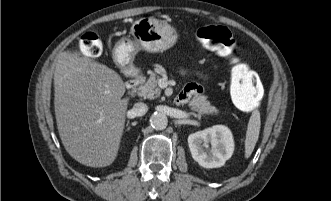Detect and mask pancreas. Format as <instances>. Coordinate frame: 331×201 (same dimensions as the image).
<instances>
[{
  "label": "pancreas",
  "mask_w": 331,
  "mask_h": 201,
  "mask_svg": "<svg viewBox=\"0 0 331 201\" xmlns=\"http://www.w3.org/2000/svg\"><path fill=\"white\" fill-rule=\"evenodd\" d=\"M158 77L154 72L150 73L148 80L140 78L138 95L148 99H155L160 96L161 90L157 86ZM191 109L198 113V116L204 114H218L216 107L212 106L205 96H198L189 103Z\"/></svg>",
  "instance_id": "pancreas-1"
}]
</instances>
